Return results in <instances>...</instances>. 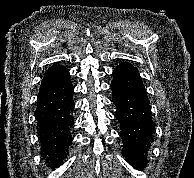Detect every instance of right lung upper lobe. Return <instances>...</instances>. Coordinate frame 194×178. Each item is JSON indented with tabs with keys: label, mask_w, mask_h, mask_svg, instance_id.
I'll return each mask as SVG.
<instances>
[{
	"label": "right lung upper lobe",
	"mask_w": 194,
	"mask_h": 178,
	"mask_svg": "<svg viewBox=\"0 0 194 178\" xmlns=\"http://www.w3.org/2000/svg\"><path fill=\"white\" fill-rule=\"evenodd\" d=\"M65 70L67 69L63 66L53 65L48 70H46V72L44 73L43 80L53 78L59 74H62Z\"/></svg>",
	"instance_id": "1"
}]
</instances>
